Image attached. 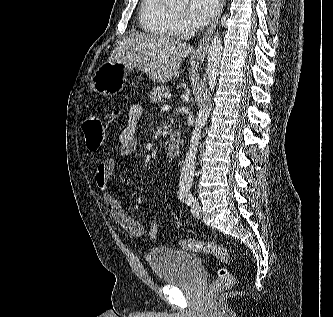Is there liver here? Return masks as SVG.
I'll use <instances>...</instances> for the list:
<instances>
[{"label":"liver","instance_id":"obj_1","mask_svg":"<svg viewBox=\"0 0 333 317\" xmlns=\"http://www.w3.org/2000/svg\"><path fill=\"white\" fill-rule=\"evenodd\" d=\"M190 52L180 38L134 32L118 42L108 62L137 67L150 79L166 83L180 76V65Z\"/></svg>","mask_w":333,"mask_h":317}]
</instances>
